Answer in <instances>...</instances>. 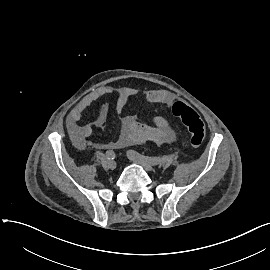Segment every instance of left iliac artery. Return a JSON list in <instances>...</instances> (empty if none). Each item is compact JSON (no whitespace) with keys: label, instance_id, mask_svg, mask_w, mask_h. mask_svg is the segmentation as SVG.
<instances>
[{"label":"left iliac artery","instance_id":"left-iliac-artery-1","mask_svg":"<svg viewBox=\"0 0 270 270\" xmlns=\"http://www.w3.org/2000/svg\"><path fill=\"white\" fill-rule=\"evenodd\" d=\"M128 153H130L132 156L138 158V159H143L147 162H149L152 165H157L161 162V159L159 157H149V156H144L139 154L138 152L134 150H129Z\"/></svg>","mask_w":270,"mask_h":270}]
</instances>
